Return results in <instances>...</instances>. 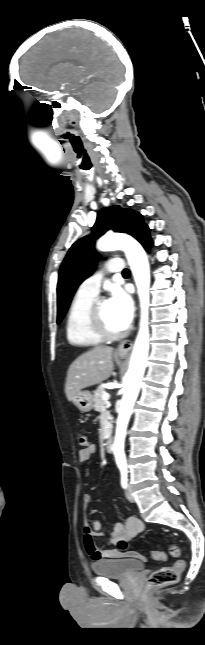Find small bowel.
<instances>
[{
    "label": "small bowel",
    "mask_w": 205,
    "mask_h": 645,
    "mask_svg": "<svg viewBox=\"0 0 205 645\" xmlns=\"http://www.w3.org/2000/svg\"><path fill=\"white\" fill-rule=\"evenodd\" d=\"M97 449L95 445H89L85 449L78 452V460L83 463L88 461ZM85 508L97 504L100 499L90 494H85L83 497ZM102 522L100 519H95L92 525L85 524L83 527V539L87 553L94 562L106 559L118 558H134L144 560V557L135 551L124 552L118 548V542L123 540L129 542L139 533L144 530L143 522L137 517L131 516L127 518L125 523L116 522L112 532L109 534L107 543L99 546L95 542L96 537L104 536L101 531Z\"/></svg>",
    "instance_id": "small-bowel-1"
}]
</instances>
